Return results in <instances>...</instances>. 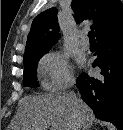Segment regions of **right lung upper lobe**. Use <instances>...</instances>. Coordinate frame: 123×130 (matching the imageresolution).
I'll list each match as a JSON object with an SVG mask.
<instances>
[{"instance_id":"obj_1","label":"right lung upper lobe","mask_w":123,"mask_h":130,"mask_svg":"<svg viewBox=\"0 0 123 130\" xmlns=\"http://www.w3.org/2000/svg\"><path fill=\"white\" fill-rule=\"evenodd\" d=\"M71 7L78 22L85 19L94 20L91 26L96 37L123 22V4L120 0H72ZM57 9L50 8L32 22L27 38L24 57L46 53L56 43L59 36Z\"/></svg>"}]
</instances>
